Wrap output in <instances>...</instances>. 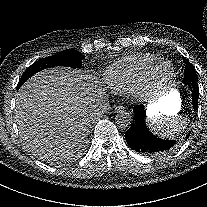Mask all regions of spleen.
<instances>
[{"label":"spleen","mask_w":207,"mask_h":207,"mask_svg":"<svg viewBox=\"0 0 207 207\" xmlns=\"http://www.w3.org/2000/svg\"><path fill=\"white\" fill-rule=\"evenodd\" d=\"M153 128L157 134L173 137L179 133L180 125L176 119L160 116L154 120Z\"/></svg>","instance_id":"obj_1"}]
</instances>
